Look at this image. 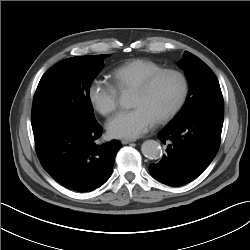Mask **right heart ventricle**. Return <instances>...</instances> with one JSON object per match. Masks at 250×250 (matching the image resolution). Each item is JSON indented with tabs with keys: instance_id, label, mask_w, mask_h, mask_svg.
Segmentation results:
<instances>
[{
	"instance_id": "obj_1",
	"label": "right heart ventricle",
	"mask_w": 250,
	"mask_h": 250,
	"mask_svg": "<svg viewBox=\"0 0 250 250\" xmlns=\"http://www.w3.org/2000/svg\"><path fill=\"white\" fill-rule=\"evenodd\" d=\"M160 69L163 67L154 61L132 59L114 68L110 79L118 91L125 92L134 90L147 76Z\"/></svg>"
}]
</instances>
